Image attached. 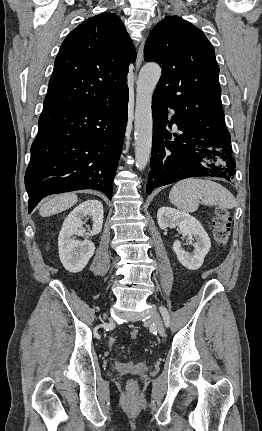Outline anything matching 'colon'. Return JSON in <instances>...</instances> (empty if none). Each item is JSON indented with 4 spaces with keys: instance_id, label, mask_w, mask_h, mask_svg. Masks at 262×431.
<instances>
[{
    "instance_id": "5ec220e1",
    "label": "colon",
    "mask_w": 262,
    "mask_h": 431,
    "mask_svg": "<svg viewBox=\"0 0 262 431\" xmlns=\"http://www.w3.org/2000/svg\"><path fill=\"white\" fill-rule=\"evenodd\" d=\"M213 238L216 245L225 247L228 242L231 227V215L227 209L217 208L213 219ZM132 338H137L139 330L134 328L131 330Z\"/></svg>"
}]
</instances>
